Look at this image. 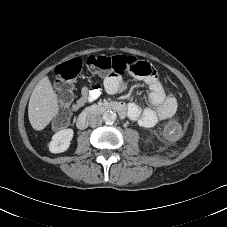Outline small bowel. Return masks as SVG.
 I'll return each mask as SVG.
<instances>
[{
  "mask_svg": "<svg viewBox=\"0 0 227 227\" xmlns=\"http://www.w3.org/2000/svg\"><path fill=\"white\" fill-rule=\"evenodd\" d=\"M142 81L148 86L150 107L141 109L136 103L128 105L127 115L131 120H137L139 125L144 128H152L159 121L171 118L177 109L176 98L167 95L163 90L161 83L156 76L141 77ZM126 84L120 77H110L104 81V89L112 94L117 95L124 91ZM102 92L100 87H86L81 90V96L72 105L76 110L86 103L96 100Z\"/></svg>",
  "mask_w": 227,
  "mask_h": 227,
  "instance_id": "1",
  "label": "small bowel"
}]
</instances>
